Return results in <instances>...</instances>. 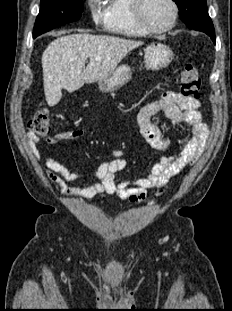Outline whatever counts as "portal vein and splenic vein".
<instances>
[{"label":"portal vein and splenic vein","mask_w":232,"mask_h":311,"mask_svg":"<svg viewBox=\"0 0 232 311\" xmlns=\"http://www.w3.org/2000/svg\"><path fill=\"white\" fill-rule=\"evenodd\" d=\"M95 59H96L97 61H100V60H101V58H100V57H96Z\"/></svg>","instance_id":"obj_1"}]
</instances>
